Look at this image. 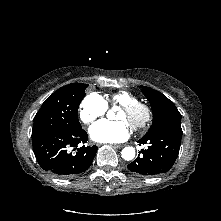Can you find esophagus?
I'll use <instances>...</instances> for the list:
<instances>
[{"instance_id": "34e87169", "label": "esophagus", "mask_w": 221, "mask_h": 221, "mask_svg": "<svg viewBox=\"0 0 221 221\" xmlns=\"http://www.w3.org/2000/svg\"><path fill=\"white\" fill-rule=\"evenodd\" d=\"M124 146H125L124 144H113L112 145L113 148H122Z\"/></svg>"}]
</instances>
